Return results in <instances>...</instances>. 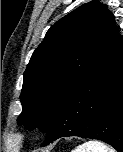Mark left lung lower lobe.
<instances>
[{
	"label": "left lung lower lobe",
	"mask_w": 123,
	"mask_h": 152,
	"mask_svg": "<svg viewBox=\"0 0 123 152\" xmlns=\"http://www.w3.org/2000/svg\"><path fill=\"white\" fill-rule=\"evenodd\" d=\"M67 136L98 139L123 152V38L116 29L60 103L42 146Z\"/></svg>",
	"instance_id": "left-lung-lower-lobe-1"
}]
</instances>
